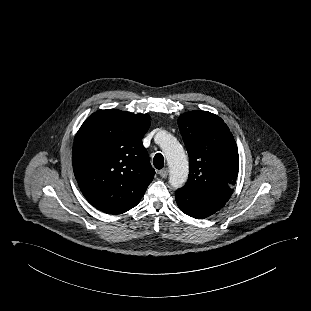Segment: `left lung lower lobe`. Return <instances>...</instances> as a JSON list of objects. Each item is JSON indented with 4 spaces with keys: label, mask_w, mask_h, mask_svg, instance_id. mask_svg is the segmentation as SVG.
I'll list each match as a JSON object with an SVG mask.
<instances>
[{
    "label": "left lung lower lobe",
    "mask_w": 311,
    "mask_h": 311,
    "mask_svg": "<svg viewBox=\"0 0 311 311\" xmlns=\"http://www.w3.org/2000/svg\"><path fill=\"white\" fill-rule=\"evenodd\" d=\"M175 197L181 211L197 219L209 217L225 205L184 188L177 190Z\"/></svg>",
    "instance_id": "0a47b994"
}]
</instances>
